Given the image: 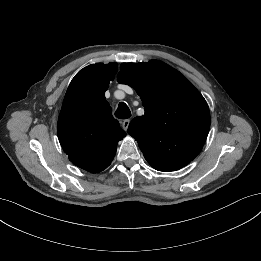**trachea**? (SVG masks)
<instances>
[{"instance_id": "obj_1", "label": "trachea", "mask_w": 261, "mask_h": 261, "mask_svg": "<svg viewBox=\"0 0 261 261\" xmlns=\"http://www.w3.org/2000/svg\"><path fill=\"white\" fill-rule=\"evenodd\" d=\"M115 116L119 119H128L131 117V111L124 102H120L115 112Z\"/></svg>"}]
</instances>
